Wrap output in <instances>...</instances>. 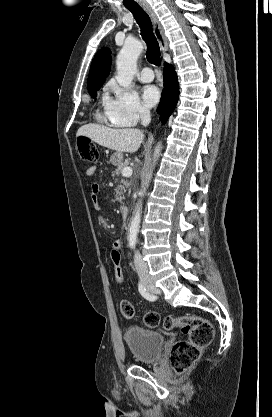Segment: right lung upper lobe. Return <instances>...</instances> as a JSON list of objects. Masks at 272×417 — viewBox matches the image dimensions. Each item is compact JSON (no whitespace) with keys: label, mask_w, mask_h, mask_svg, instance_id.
I'll use <instances>...</instances> for the list:
<instances>
[{"label":"right lung upper lobe","mask_w":272,"mask_h":417,"mask_svg":"<svg viewBox=\"0 0 272 417\" xmlns=\"http://www.w3.org/2000/svg\"><path fill=\"white\" fill-rule=\"evenodd\" d=\"M111 55L108 48L100 49L91 64L87 81L88 91L98 90L110 72Z\"/></svg>","instance_id":"obj_1"}]
</instances>
